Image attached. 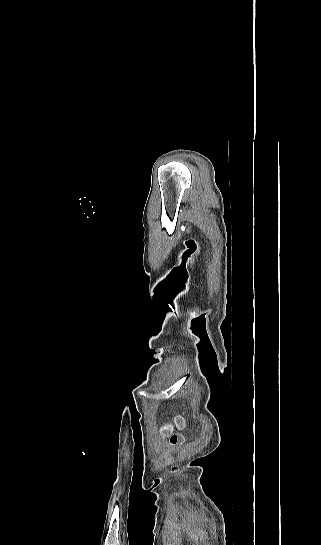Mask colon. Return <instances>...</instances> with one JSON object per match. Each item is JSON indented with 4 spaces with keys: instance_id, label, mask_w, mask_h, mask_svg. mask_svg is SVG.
I'll use <instances>...</instances> for the list:
<instances>
[{
    "instance_id": "obj_1",
    "label": "colon",
    "mask_w": 321,
    "mask_h": 545,
    "mask_svg": "<svg viewBox=\"0 0 321 545\" xmlns=\"http://www.w3.org/2000/svg\"><path fill=\"white\" fill-rule=\"evenodd\" d=\"M182 421L181 419H177L176 422H175V425L176 426H179L181 425ZM173 428L174 426L172 424H168V425H165L163 428H162V433L164 435H167V436H170V442L172 444H178L182 441V437L177 435V434H173Z\"/></svg>"
}]
</instances>
